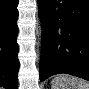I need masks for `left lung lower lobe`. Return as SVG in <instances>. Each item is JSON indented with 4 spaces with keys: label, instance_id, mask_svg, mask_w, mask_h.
Masks as SVG:
<instances>
[{
    "label": "left lung lower lobe",
    "instance_id": "obj_1",
    "mask_svg": "<svg viewBox=\"0 0 89 89\" xmlns=\"http://www.w3.org/2000/svg\"><path fill=\"white\" fill-rule=\"evenodd\" d=\"M40 81L59 74L89 80V0H38Z\"/></svg>",
    "mask_w": 89,
    "mask_h": 89
}]
</instances>
